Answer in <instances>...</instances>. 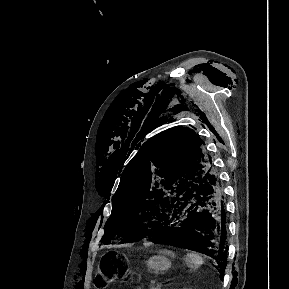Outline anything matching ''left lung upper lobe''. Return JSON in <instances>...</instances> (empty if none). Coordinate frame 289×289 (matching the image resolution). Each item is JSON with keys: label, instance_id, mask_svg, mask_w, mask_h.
Segmentation results:
<instances>
[{"label": "left lung upper lobe", "instance_id": "obj_1", "mask_svg": "<svg viewBox=\"0 0 289 289\" xmlns=\"http://www.w3.org/2000/svg\"><path fill=\"white\" fill-rule=\"evenodd\" d=\"M210 166L204 141L189 128H171L148 140L122 173L102 242L129 243L147 237L168 216L177 193ZM152 214L159 222L143 225Z\"/></svg>", "mask_w": 289, "mask_h": 289}]
</instances>
